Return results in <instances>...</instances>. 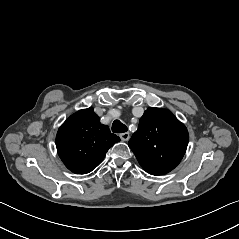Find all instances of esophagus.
I'll use <instances>...</instances> for the list:
<instances>
[{"instance_id": "obj_1", "label": "esophagus", "mask_w": 239, "mask_h": 239, "mask_svg": "<svg viewBox=\"0 0 239 239\" xmlns=\"http://www.w3.org/2000/svg\"><path fill=\"white\" fill-rule=\"evenodd\" d=\"M119 137H120L121 140H123V141H128L129 138H130V133H129V132L121 133V134L119 135Z\"/></svg>"}]
</instances>
